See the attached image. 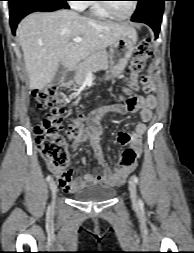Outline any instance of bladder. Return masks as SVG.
<instances>
[{"label": "bladder", "mask_w": 194, "mask_h": 253, "mask_svg": "<svg viewBox=\"0 0 194 253\" xmlns=\"http://www.w3.org/2000/svg\"><path fill=\"white\" fill-rule=\"evenodd\" d=\"M116 194L114 187L110 185H91L76 191L73 198L79 202H104L112 199Z\"/></svg>", "instance_id": "bladder-1"}]
</instances>
